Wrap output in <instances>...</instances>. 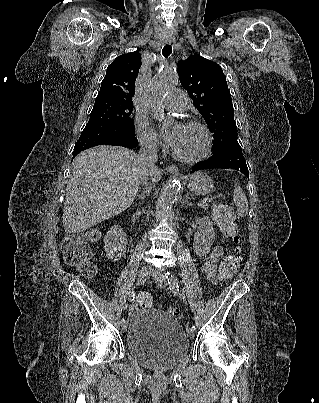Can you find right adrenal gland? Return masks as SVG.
Segmentation results:
<instances>
[{
	"mask_svg": "<svg viewBox=\"0 0 319 403\" xmlns=\"http://www.w3.org/2000/svg\"><path fill=\"white\" fill-rule=\"evenodd\" d=\"M150 192V187H145L143 192L139 195V199H144L146 196H148Z\"/></svg>",
	"mask_w": 319,
	"mask_h": 403,
	"instance_id": "obj_1",
	"label": "right adrenal gland"
}]
</instances>
